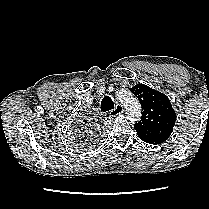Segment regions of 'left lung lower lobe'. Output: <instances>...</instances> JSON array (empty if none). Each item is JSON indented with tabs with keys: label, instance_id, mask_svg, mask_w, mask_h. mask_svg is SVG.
<instances>
[{
	"label": "left lung lower lobe",
	"instance_id": "1",
	"mask_svg": "<svg viewBox=\"0 0 209 209\" xmlns=\"http://www.w3.org/2000/svg\"><path fill=\"white\" fill-rule=\"evenodd\" d=\"M143 140V139H141ZM144 142L146 143H149V144H154V145H158V144H161L163 141L157 139V140H143Z\"/></svg>",
	"mask_w": 209,
	"mask_h": 209
}]
</instances>
